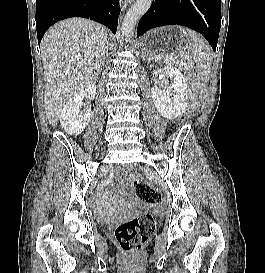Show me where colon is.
Here are the masks:
<instances>
[{
    "label": "colon",
    "instance_id": "obj_1",
    "mask_svg": "<svg viewBox=\"0 0 265 273\" xmlns=\"http://www.w3.org/2000/svg\"><path fill=\"white\" fill-rule=\"evenodd\" d=\"M127 176L133 181L134 192L139 201L154 205L161 200V194L157 190L150 184L138 180L135 168L128 169ZM155 228V220L146 214L119 224L114 231V237L123 250H140L152 236Z\"/></svg>",
    "mask_w": 265,
    "mask_h": 273
}]
</instances>
